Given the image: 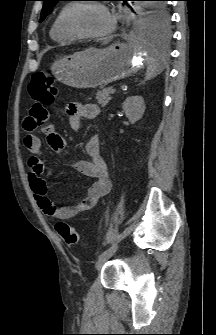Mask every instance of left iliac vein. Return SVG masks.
Masks as SVG:
<instances>
[{
  "instance_id": "1",
  "label": "left iliac vein",
  "mask_w": 216,
  "mask_h": 335,
  "mask_svg": "<svg viewBox=\"0 0 216 335\" xmlns=\"http://www.w3.org/2000/svg\"><path fill=\"white\" fill-rule=\"evenodd\" d=\"M109 256L101 257L97 260L95 267L97 270H99L103 264L108 260Z\"/></svg>"
}]
</instances>
